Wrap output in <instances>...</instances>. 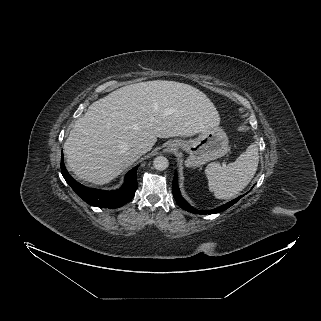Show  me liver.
Instances as JSON below:
<instances>
[{"label":"liver","mask_w":321,"mask_h":321,"mask_svg":"<svg viewBox=\"0 0 321 321\" xmlns=\"http://www.w3.org/2000/svg\"><path fill=\"white\" fill-rule=\"evenodd\" d=\"M214 104L199 89L154 80L121 87L93 102L64 143L67 164L81 180L103 185L131 166L138 144L193 136L218 126Z\"/></svg>","instance_id":"obj_1"}]
</instances>
